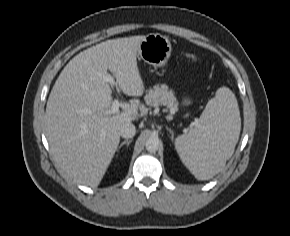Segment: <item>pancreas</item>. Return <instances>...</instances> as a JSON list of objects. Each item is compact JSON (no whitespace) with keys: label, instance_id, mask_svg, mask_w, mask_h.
I'll return each mask as SVG.
<instances>
[{"label":"pancreas","instance_id":"pancreas-1","mask_svg":"<svg viewBox=\"0 0 290 236\" xmlns=\"http://www.w3.org/2000/svg\"><path fill=\"white\" fill-rule=\"evenodd\" d=\"M144 99L146 104L151 107L166 106L171 113L178 110L176 97L173 91L169 90L165 84L154 86L153 89L148 91Z\"/></svg>","mask_w":290,"mask_h":236}]
</instances>
